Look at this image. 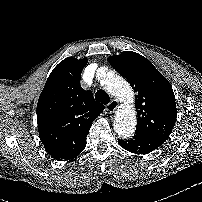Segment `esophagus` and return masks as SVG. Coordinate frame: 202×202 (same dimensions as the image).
I'll return each instance as SVG.
<instances>
[{"label":"esophagus","instance_id":"esophagus-1","mask_svg":"<svg viewBox=\"0 0 202 202\" xmlns=\"http://www.w3.org/2000/svg\"><path fill=\"white\" fill-rule=\"evenodd\" d=\"M118 107L119 103L116 100H113L106 106V110L108 113H114Z\"/></svg>","mask_w":202,"mask_h":202}]
</instances>
